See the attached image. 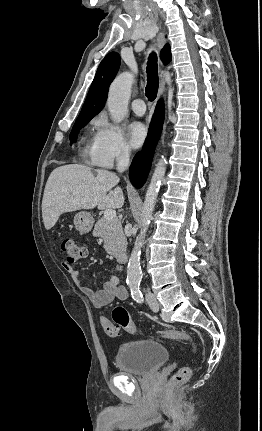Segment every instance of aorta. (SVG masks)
I'll return each mask as SVG.
<instances>
[{"mask_svg":"<svg viewBox=\"0 0 262 431\" xmlns=\"http://www.w3.org/2000/svg\"><path fill=\"white\" fill-rule=\"evenodd\" d=\"M133 80L134 77L130 72H123L110 85L107 106L112 120L116 123L121 122L128 114V101ZM166 164L167 160L164 157L158 161L146 191L140 224L141 231L136 237L127 267V282L132 286H137L142 278L140 266L141 248L144 244L145 233L152 219L158 192L166 172Z\"/></svg>","mask_w":262,"mask_h":431,"instance_id":"1","label":"aorta"}]
</instances>
